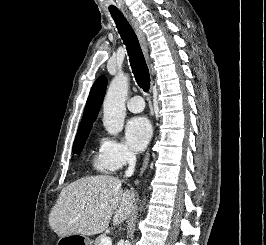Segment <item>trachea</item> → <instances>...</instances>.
<instances>
[{
	"label": "trachea",
	"mask_w": 266,
	"mask_h": 245,
	"mask_svg": "<svg viewBox=\"0 0 266 245\" xmlns=\"http://www.w3.org/2000/svg\"><path fill=\"white\" fill-rule=\"evenodd\" d=\"M111 15L115 20L121 38L126 45L131 68L136 81L144 92H148L150 89V74L139 45V40L121 12H111Z\"/></svg>",
	"instance_id": "obj_1"
}]
</instances>
